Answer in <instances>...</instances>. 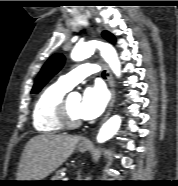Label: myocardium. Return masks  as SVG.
<instances>
[{"mask_svg": "<svg viewBox=\"0 0 178 186\" xmlns=\"http://www.w3.org/2000/svg\"><path fill=\"white\" fill-rule=\"evenodd\" d=\"M55 119L63 129L68 130L77 129L83 124L81 119H74L70 115L67 106V98L65 96L61 99L56 107Z\"/></svg>", "mask_w": 178, "mask_h": 186, "instance_id": "myocardium-1", "label": "myocardium"}]
</instances>
